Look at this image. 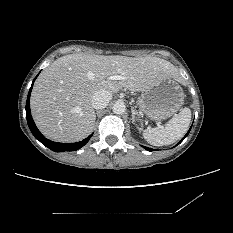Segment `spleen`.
<instances>
[{
    "instance_id": "1",
    "label": "spleen",
    "mask_w": 233,
    "mask_h": 233,
    "mask_svg": "<svg viewBox=\"0 0 233 233\" xmlns=\"http://www.w3.org/2000/svg\"><path fill=\"white\" fill-rule=\"evenodd\" d=\"M190 121L191 110L184 108L164 126L144 130L143 136L153 146L170 145L183 137Z\"/></svg>"
}]
</instances>
